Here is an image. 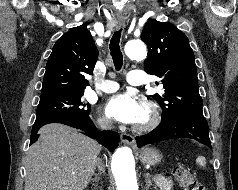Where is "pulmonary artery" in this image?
<instances>
[{"label":"pulmonary artery","instance_id":"e3ab8cb5","mask_svg":"<svg viewBox=\"0 0 238 190\" xmlns=\"http://www.w3.org/2000/svg\"><path fill=\"white\" fill-rule=\"evenodd\" d=\"M127 81L134 86L144 85L146 82L145 73L141 70H132L128 73ZM119 84L112 80H104L100 85L101 91L105 93H112L117 91Z\"/></svg>","mask_w":238,"mask_h":190}]
</instances>
